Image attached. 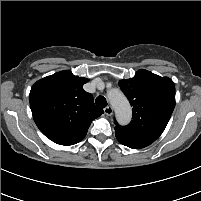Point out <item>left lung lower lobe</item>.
<instances>
[{"label":"left lung lower lobe","mask_w":201,"mask_h":201,"mask_svg":"<svg viewBox=\"0 0 201 201\" xmlns=\"http://www.w3.org/2000/svg\"><path fill=\"white\" fill-rule=\"evenodd\" d=\"M115 135L117 140L132 149H140L147 147L151 143L154 142V140L147 139V138H141V137H133L123 134L122 132L115 129Z\"/></svg>","instance_id":"obj_1"}]
</instances>
